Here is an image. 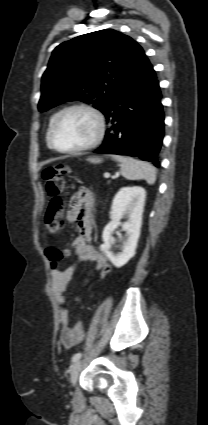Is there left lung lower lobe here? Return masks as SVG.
Instances as JSON below:
<instances>
[{"instance_id":"0a47b994","label":"left lung lower lobe","mask_w":208,"mask_h":425,"mask_svg":"<svg viewBox=\"0 0 208 425\" xmlns=\"http://www.w3.org/2000/svg\"><path fill=\"white\" fill-rule=\"evenodd\" d=\"M159 82L146 57L103 112L107 128L103 144L94 152L136 156L159 167L164 137V113Z\"/></svg>"}]
</instances>
